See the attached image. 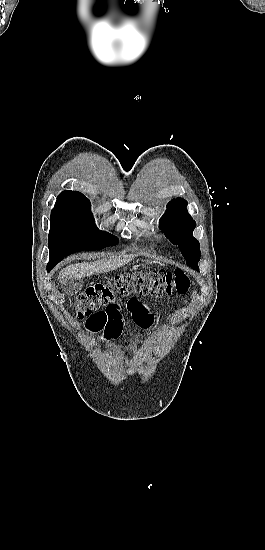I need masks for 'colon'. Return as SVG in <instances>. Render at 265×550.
<instances>
[{
    "label": "colon",
    "mask_w": 265,
    "mask_h": 550,
    "mask_svg": "<svg viewBox=\"0 0 265 550\" xmlns=\"http://www.w3.org/2000/svg\"><path fill=\"white\" fill-rule=\"evenodd\" d=\"M190 286L191 280L180 269L121 273L109 284L88 285L77 297L74 307L78 318H88L91 329L114 335L117 334V328H120L118 319L124 307L131 312L140 305L137 300H129L123 306L117 303V296H170L174 293H185ZM133 321L139 327L145 328L152 324V315L150 313V318L145 320L140 314H134Z\"/></svg>",
    "instance_id": "1"
}]
</instances>
